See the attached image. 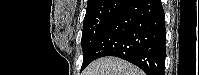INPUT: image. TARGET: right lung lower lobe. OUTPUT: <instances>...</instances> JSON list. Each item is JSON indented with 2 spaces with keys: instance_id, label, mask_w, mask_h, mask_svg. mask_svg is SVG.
<instances>
[{
  "instance_id": "right-lung-lower-lobe-1",
  "label": "right lung lower lobe",
  "mask_w": 199,
  "mask_h": 75,
  "mask_svg": "<svg viewBox=\"0 0 199 75\" xmlns=\"http://www.w3.org/2000/svg\"><path fill=\"white\" fill-rule=\"evenodd\" d=\"M160 0H128L96 42L90 62L116 56L147 75H164L166 28Z\"/></svg>"
}]
</instances>
